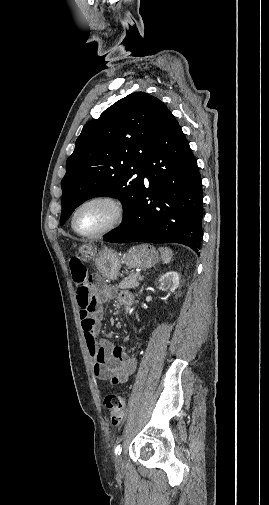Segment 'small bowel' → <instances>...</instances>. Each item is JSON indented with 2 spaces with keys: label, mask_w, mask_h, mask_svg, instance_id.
<instances>
[{
  "label": "small bowel",
  "mask_w": 269,
  "mask_h": 505,
  "mask_svg": "<svg viewBox=\"0 0 269 505\" xmlns=\"http://www.w3.org/2000/svg\"><path fill=\"white\" fill-rule=\"evenodd\" d=\"M69 265L74 273L72 277L76 284L75 293L80 307L81 326L94 362V373L104 381H115L116 384L126 383L136 369V357L129 356L123 347L98 339L100 322L103 318L101 304L112 297L114 289L107 286L100 277L94 276L90 284L97 295H91L83 260L72 259ZM118 301L129 307L133 303V296L128 291H122L118 294Z\"/></svg>",
  "instance_id": "small-bowel-1"
}]
</instances>
